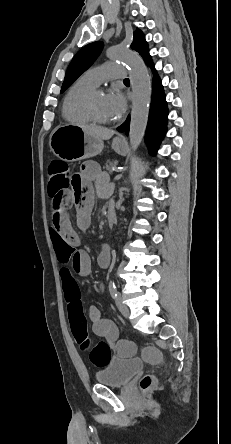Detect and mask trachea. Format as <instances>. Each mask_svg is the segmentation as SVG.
<instances>
[{
    "instance_id": "trachea-1",
    "label": "trachea",
    "mask_w": 231,
    "mask_h": 444,
    "mask_svg": "<svg viewBox=\"0 0 231 444\" xmlns=\"http://www.w3.org/2000/svg\"><path fill=\"white\" fill-rule=\"evenodd\" d=\"M124 81H129V79H128V78H126V79H124Z\"/></svg>"
}]
</instances>
